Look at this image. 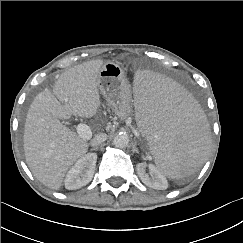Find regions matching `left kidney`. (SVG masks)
Segmentation results:
<instances>
[{
	"label": "left kidney",
	"mask_w": 243,
	"mask_h": 243,
	"mask_svg": "<svg viewBox=\"0 0 243 243\" xmlns=\"http://www.w3.org/2000/svg\"><path fill=\"white\" fill-rule=\"evenodd\" d=\"M146 167H148L150 173L153 175L152 178L146 173ZM137 173L142 180V182L154 189H166L167 180L166 178L158 171V169L152 164L139 163L136 166Z\"/></svg>",
	"instance_id": "1"
}]
</instances>
